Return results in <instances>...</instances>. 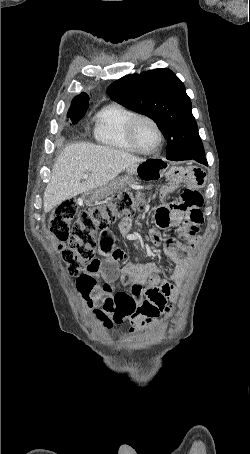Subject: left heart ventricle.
I'll return each instance as SVG.
<instances>
[{
  "mask_svg": "<svg viewBox=\"0 0 250 454\" xmlns=\"http://www.w3.org/2000/svg\"><path fill=\"white\" fill-rule=\"evenodd\" d=\"M136 138L142 148L146 150L153 149L158 143V134L154 126L147 122L141 121L136 128Z\"/></svg>",
  "mask_w": 250,
  "mask_h": 454,
  "instance_id": "left-heart-ventricle-1",
  "label": "left heart ventricle"
}]
</instances>
